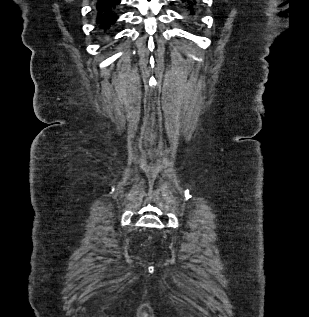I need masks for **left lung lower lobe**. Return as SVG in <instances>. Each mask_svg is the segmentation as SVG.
Wrapping results in <instances>:
<instances>
[{"instance_id": "obj_1", "label": "left lung lower lobe", "mask_w": 309, "mask_h": 317, "mask_svg": "<svg viewBox=\"0 0 309 317\" xmlns=\"http://www.w3.org/2000/svg\"><path fill=\"white\" fill-rule=\"evenodd\" d=\"M181 7L184 11V14L192 22H198L200 16V1L199 0H180Z\"/></svg>"}]
</instances>
